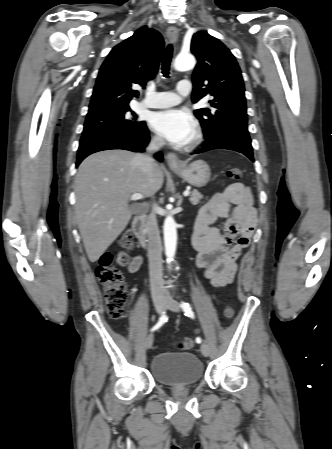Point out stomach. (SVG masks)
Returning <instances> with one entry per match:
<instances>
[{
    "instance_id": "1",
    "label": "stomach",
    "mask_w": 332,
    "mask_h": 449,
    "mask_svg": "<svg viewBox=\"0 0 332 449\" xmlns=\"http://www.w3.org/2000/svg\"><path fill=\"white\" fill-rule=\"evenodd\" d=\"M177 175L184 179L187 183L195 187L205 186L211 177L208 164L203 160H197L189 165H184L181 169H172Z\"/></svg>"
}]
</instances>
